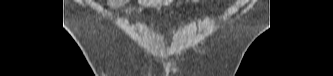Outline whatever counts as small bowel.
<instances>
[{"label": "small bowel", "instance_id": "c3829d8e", "mask_svg": "<svg viewBox=\"0 0 333 76\" xmlns=\"http://www.w3.org/2000/svg\"><path fill=\"white\" fill-rule=\"evenodd\" d=\"M126 0H108L107 4L112 8H123L126 4ZM183 3L187 1H163V0H141L139 1L137 6H130V7H124L123 12L124 13H136L141 11L144 8H152L157 9L161 7L164 3Z\"/></svg>", "mask_w": 333, "mask_h": 76}]
</instances>
